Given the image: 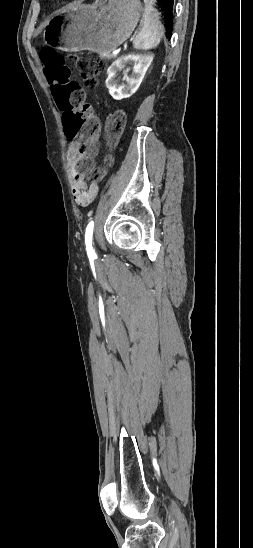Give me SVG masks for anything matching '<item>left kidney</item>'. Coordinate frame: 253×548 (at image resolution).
I'll return each mask as SVG.
<instances>
[{"instance_id": "obj_1", "label": "left kidney", "mask_w": 253, "mask_h": 548, "mask_svg": "<svg viewBox=\"0 0 253 548\" xmlns=\"http://www.w3.org/2000/svg\"><path fill=\"white\" fill-rule=\"evenodd\" d=\"M152 61L153 55L150 54H130L115 60L107 69L108 77L105 83L109 90V94L115 100H121L132 96L138 90ZM126 65H133L132 75L123 79L126 83H121L117 78V73ZM129 70L130 69L128 68L127 72Z\"/></svg>"}]
</instances>
